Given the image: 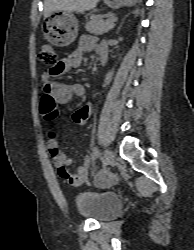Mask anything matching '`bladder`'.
<instances>
[{"label":"bladder","mask_w":194,"mask_h":250,"mask_svg":"<svg viewBox=\"0 0 194 250\" xmlns=\"http://www.w3.org/2000/svg\"><path fill=\"white\" fill-rule=\"evenodd\" d=\"M77 213L97 221H107L116 217L122 208V201L110 192L81 191L74 200Z\"/></svg>","instance_id":"obj_1"}]
</instances>
